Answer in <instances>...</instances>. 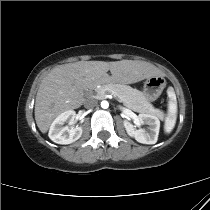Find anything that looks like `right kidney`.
Wrapping results in <instances>:
<instances>
[{"mask_svg":"<svg viewBox=\"0 0 210 210\" xmlns=\"http://www.w3.org/2000/svg\"><path fill=\"white\" fill-rule=\"evenodd\" d=\"M75 111L68 110L61 113L50 126L49 138L57 144H70L78 140L82 135V127L64 126L65 123L72 124L75 119Z\"/></svg>","mask_w":210,"mask_h":210,"instance_id":"obj_1","label":"right kidney"}]
</instances>
